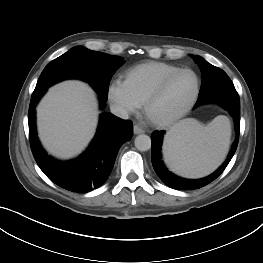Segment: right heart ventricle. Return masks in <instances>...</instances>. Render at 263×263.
Instances as JSON below:
<instances>
[{"instance_id": "e07e8e85", "label": "right heart ventricle", "mask_w": 263, "mask_h": 263, "mask_svg": "<svg viewBox=\"0 0 263 263\" xmlns=\"http://www.w3.org/2000/svg\"><path fill=\"white\" fill-rule=\"evenodd\" d=\"M177 69H179L178 66L165 62L142 63L126 70L123 82L129 93L141 105L157 84Z\"/></svg>"}]
</instances>
